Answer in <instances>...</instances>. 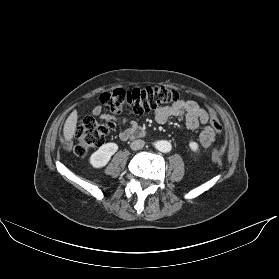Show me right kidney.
<instances>
[{"instance_id": "obj_1", "label": "right kidney", "mask_w": 279, "mask_h": 279, "mask_svg": "<svg viewBox=\"0 0 279 279\" xmlns=\"http://www.w3.org/2000/svg\"><path fill=\"white\" fill-rule=\"evenodd\" d=\"M117 150L116 143H106L90 156L89 162L94 168H102L106 166Z\"/></svg>"}]
</instances>
